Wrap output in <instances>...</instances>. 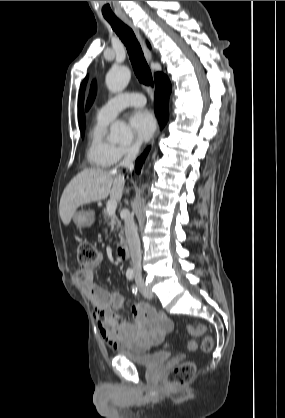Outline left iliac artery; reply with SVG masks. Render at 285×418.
<instances>
[{"label": "left iliac artery", "instance_id": "44dca946", "mask_svg": "<svg viewBox=\"0 0 285 418\" xmlns=\"http://www.w3.org/2000/svg\"><path fill=\"white\" fill-rule=\"evenodd\" d=\"M132 291H133V293H137V288H135L134 286L132 287Z\"/></svg>", "mask_w": 285, "mask_h": 418}]
</instances>
